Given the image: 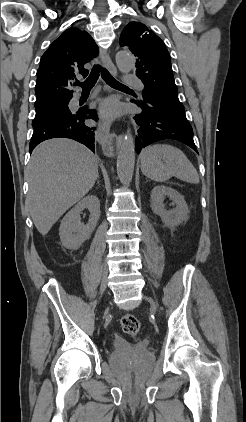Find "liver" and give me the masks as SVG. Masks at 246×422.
Masks as SVG:
<instances>
[{
	"instance_id": "liver-1",
	"label": "liver",
	"mask_w": 246,
	"mask_h": 422,
	"mask_svg": "<svg viewBox=\"0 0 246 422\" xmlns=\"http://www.w3.org/2000/svg\"><path fill=\"white\" fill-rule=\"evenodd\" d=\"M27 205L37 230L46 235L56 221L94 186L98 159L66 138L39 144L27 167Z\"/></svg>"
}]
</instances>
